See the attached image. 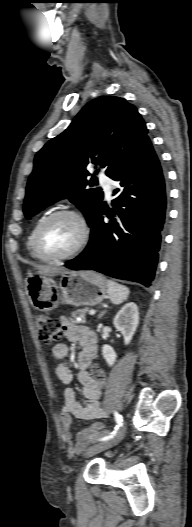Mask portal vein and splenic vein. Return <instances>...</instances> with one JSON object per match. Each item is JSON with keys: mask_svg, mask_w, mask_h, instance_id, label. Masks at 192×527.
I'll list each match as a JSON object with an SVG mask.
<instances>
[{"mask_svg": "<svg viewBox=\"0 0 192 527\" xmlns=\"http://www.w3.org/2000/svg\"><path fill=\"white\" fill-rule=\"evenodd\" d=\"M95 313H96L95 310H90V311H89V314H90V315H94Z\"/></svg>", "mask_w": 192, "mask_h": 527, "instance_id": "portal-vein-and-splenic-vein-1", "label": "portal vein and splenic vein"}]
</instances>
